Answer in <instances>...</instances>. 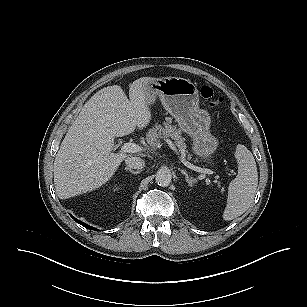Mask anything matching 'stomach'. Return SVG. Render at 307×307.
Listing matches in <instances>:
<instances>
[{"mask_svg":"<svg viewBox=\"0 0 307 307\" xmlns=\"http://www.w3.org/2000/svg\"><path fill=\"white\" fill-rule=\"evenodd\" d=\"M147 91L148 104L159 97L180 130L192 138L193 152L203 158L210 157L218 146V140L210 132V114L199 107L196 85L180 77L153 78L147 83Z\"/></svg>","mask_w":307,"mask_h":307,"instance_id":"obj_1","label":"stomach"}]
</instances>
